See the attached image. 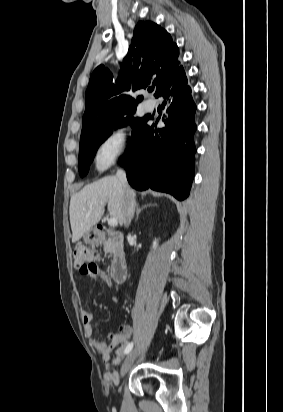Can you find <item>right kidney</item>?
<instances>
[{
    "label": "right kidney",
    "mask_w": 283,
    "mask_h": 412,
    "mask_svg": "<svg viewBox=\"0 0 283 412\" xmlns=\"http://www.w3.org/2000/svg\"><path fill=\"white\" fill-rule=\"evenodd\" d=\"M157 248V240L155 239L154 241H153V249H156Z\"/></svg>",
    "instance_id": "ca27d5eb"
}]
</instances>
